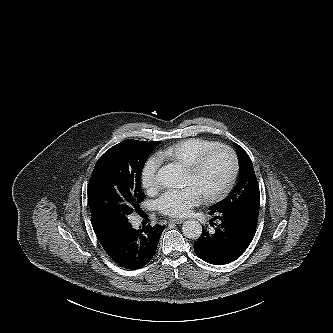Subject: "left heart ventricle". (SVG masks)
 Here are the masks:
<instances>
[{"label":"left heart ventricle","instance_id":"left-heart-ventricle-1","mask_svg":"<svg viewBox=\"0 0 333 333\" xmlns=\"http://www.w3.org/2000/svg\"><path fill=\"white\" fill-rule=\"evenodd\" d=\"M232 170V155L226 150H219L209 157L198 173L190 174L184 171L183 184L196 188L205 197L221 189Z\"/></svg>","mask_w":333,"mask_h":333}]
</instances>
